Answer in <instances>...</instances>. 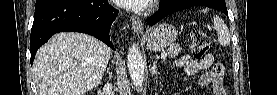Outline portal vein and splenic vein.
<instances>
[{
    "instance_id": "18ae733b",
    "label": "portal vein and splenic vein",
    "mask_w": 277,
    "mask_h": 95,
    "mask_svg": "<svg viewBox=\"0 0 277 95\" xmlns=\"http://www.w3.org/2000/svg\"><path fill=\"white\" fill-rule=\"evenodd\" d=\"M167 57V53L166 52H162L161 53V59H165Z\"/></svg>"
}]
</instances>
